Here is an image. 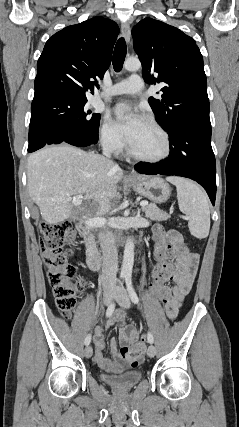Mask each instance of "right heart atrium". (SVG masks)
Wrapping results in <instances>:
<instances>
[{
	"label": "right heart atrium",
	"instance_id": "1",
	"mask_svg": "<svg viewBox=\"0 0 239 427\" xmlns=\"http://www.w3.org/2000/svg\"><path fill=\"white\" fill-rule=\"evenodd\" d=\"M99 138L104 149L113 154L120 153L124 148V141L116 127L108 117H105L99 129Z\"/></svg>",
	"mask_w": 239,
	"mask_h": 427
}]
</instances>
